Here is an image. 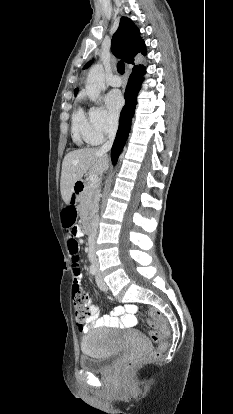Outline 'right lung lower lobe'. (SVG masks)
Listing matches in <instances>:
<instances>
[{
	"label": "right lung lower lobe",
	"instance_id": "obj_1",
	"mask_svg": "<svg viewBox=\"0 0 233 414\" xmlns=\"http://www.w3.org/2000/svg\"><path fill=\"white\" fill-rule=\"evenodd\" d=\"M144 74L145 68L132 71L128 80L124 94L126 104L121 111L119 128L111 150V158L114 165L117 162V158L124 147L125 141L130 131L131 118L134 115L135 106L137 104V94L140 90L141 82L143 81L142 76Z\"/></svg>",
	"mask_w": 233,
	"mask_h": 414
}]
</instances>
